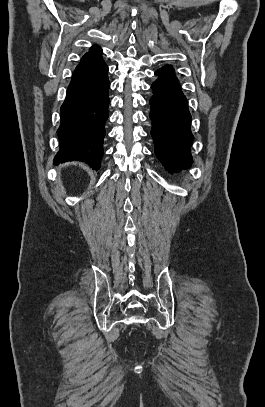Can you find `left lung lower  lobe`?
<instances>
[{"mask_svg":"<svg viewBox=\"0 0 265 407\" xmlns=\"http://www.w3.org/2000/svg\"><path fill=\"white\" fill-rule=\"evenodd\" d=\"M155 75L158 78L151 88L156 92L149 102L155 154L167 170L178 171L192 164L191 115L174 68L166 65Z\"/></svg>","mask_w":265,"mask_h":407,"instance_id":"1","label":"left lung lower lobe"}]
</instances>
